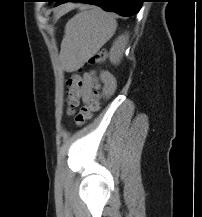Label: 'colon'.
<instances>
[{"label": "colon", "instance_id": "colon-1", "mask_svg": "<svg viewBox=\"0 0 202 217\" xmlns=\"http://www.w3.org/2000/svg\"><path fill=\"white\" fill-rule=\"evenodd\" d=\"M107 53L104 50L96 52L90 58V62L95 65H101L106 61ZM100 84H95V91L91 100L84 106H82L75 116V122L78 126H83L92 116V114L97 111L100 107V94L99 89ZM82 88H83V77L79 73H74L67 80V113L72 115L76 108L80 104V99L82 98Z\"/></svg>", "mask_w": 202, "mask_h": 217}]
</instances>
